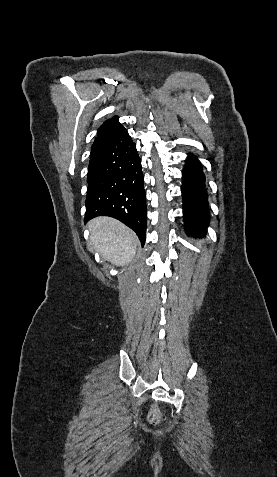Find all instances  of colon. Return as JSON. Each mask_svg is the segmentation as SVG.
Instances as JSON below:
<instances>
[{"instance_id":"5ec220e1","label":"colon","mask_w":277,"mask_h":477,"mask_svg":"<svg viewBox=\"0 0 277 477\" xmlns=\"http://www.w3.org/2000/svg\"><path fill=\"white\" fill-rule=\"evenodd\" d=\"M148 420L151 424H158L160 422L161 414L156 407L151 408L148 415Z\"/></svg>"}]
</instances>
